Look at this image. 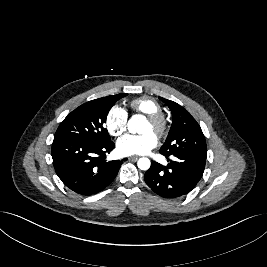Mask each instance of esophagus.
I'll use <instances>...</instances> for the list:
<instances>
[{
	"mask_svg": "<svg viewBox=\"0 0 267 267\" xmlns=\"http://www.w3.org/2000/svg\"><path fill=\"white\" fill-rule=\"evenodd\" d=\"M139 158V156H131L128 159L131 161H136Z\"/></svg>",
	"mask_w": 267,
	"mask_h": 267,
	"instance_id": "esophagus-1",
	"label": "esophagus"
}]
</instances>
